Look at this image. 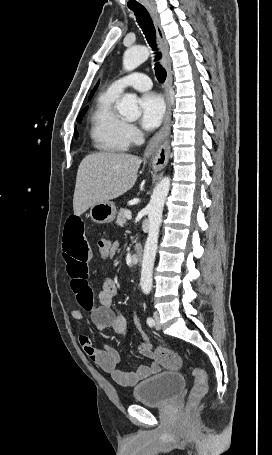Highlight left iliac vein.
<instances>
[{
	"instance_id": "left-iliac-vein-1",
	"label": "left iliac vein",
	"mask_w": 272,
	"mask_h": 455,
	"mask_svg": "<svg viewBox=\"0 0 272 455\" xmlns=\"http://www.w3.org/2000/svg\"><path fill=\"white\" fill-rule=\"evenodd\" d=\"M154 326L157 330H160V328H161L160 316L157 311L154 312Z\"/></svg>"
}]
</instances>
